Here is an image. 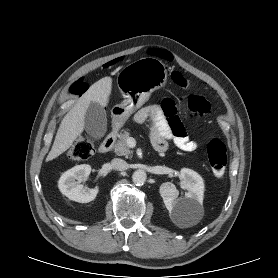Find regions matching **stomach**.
Wrapping results in <instances>:
<instances>
[{
  "label": "stomach",
  "instance_id": "0dacf381",
  "mask_svg": "<svg viewBox=\"0 0 278 278\" xmlns=\"http://www.w3.org/2000/svg\"><path fill=\"white\" fill-rule=\"evenodd\" d=\"M166 82V66L157 58L145 57L125 66L117 75V85L124 100L111 110L114 127H121L151 93L163 88Z\"/></svg>",
  "mask_w": 278,
  "mask_h": 278
}]
</instances>
